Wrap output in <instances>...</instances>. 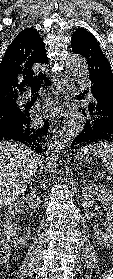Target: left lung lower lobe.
Listing matches in <instances>:
<instances>
[{"mask_svg": "<svg viewBox=\"0 0 113 279\" xmlns=\"http://www.w3.org/2000/svg\"><path fill=\"white\" fill-rule=\"evenodd\" d=\"M93 101L89 104L83 131L73 140L71 147L96 142L113 143V91L93 84ZM85 113V112H84Z\"/></svg>", "mask_w": 113, "mask_h": 279, "instance_id": "0a47b994", "label": "left lung lower lobe"}]
</instances>
